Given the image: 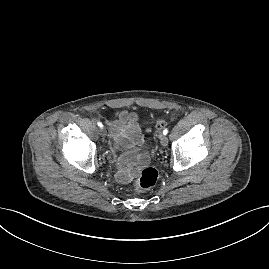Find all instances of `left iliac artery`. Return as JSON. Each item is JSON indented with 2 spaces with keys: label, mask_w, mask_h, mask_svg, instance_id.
<instances>
[{
  "label": "left iliac artery",
  "mask_w": 269,
  "mask_h": 269,
  "mask_svg": "<svg viewBox=\"0 0 269 269\" xmlns=\"http://www.w3.org/2000/svg\"><path fill=\"white\" fill-rule=\"evenodd\" d=\"M163 134H164V135L168 134V129H164V130H163Z\"/></svg>",
  "instance_id": "left-iliac-artery-1"
}]
</instances>
